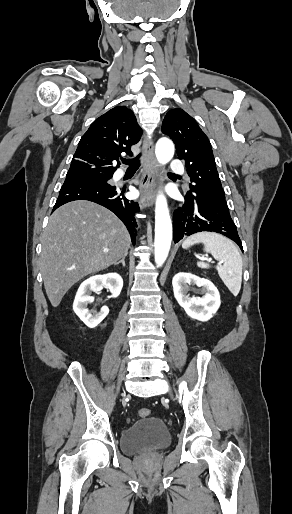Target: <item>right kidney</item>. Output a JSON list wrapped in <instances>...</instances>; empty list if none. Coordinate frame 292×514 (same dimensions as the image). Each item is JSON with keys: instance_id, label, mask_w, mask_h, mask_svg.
Returning a JSON list of instances; mask_svg holds the SVG:
<instances>
[{"instance_id": "right-kidney-1", "label": "right kidney", "mask_w": 292, "mask_h": 514, "mask_svg": "<svg viewBox=\"0 0 292 514\" xmlns=\"http://www.w3.org/2000/svg\"><path fill=\"white\" fill-rule=\"evenodd\" d=\"M103 286L109 288L112 298H117L123 288V280L119 274H104V276H92L85 282H82L78 292L75 296L73 310L80 320L88 326V328H96L107 314H109V308L102 306L100 312H94V310H88L87 304L94 302L93 296H90L91 292H100Z\"/></svg>"}]
</instances>
